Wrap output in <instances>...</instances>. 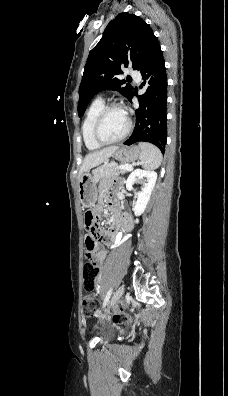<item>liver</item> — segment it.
I'll return each instance as SVG.
<instances>
[{
    "label": "liver",
    "instance_id": "6515ba94",
    "mask_svg": "<svg viewBox=\"0 0 228 396\" xmlns=\"http://www.w3.org/2000/svg\"><path fill=\"white\" fill-rule=\"evenodd\" d=\"M118 149V146H110L102 150L94 151L87 154L79 170L78 178L80 179L84 172L100 165L103 162H106L108 158L111 157L113 153Z\"/></svg>",
    "mask_w": 228,
    "mask_h": 396
}]
</instances>
